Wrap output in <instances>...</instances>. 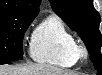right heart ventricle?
I'll use <instances>...</instances> for the list:
<instances>
[{
  "label": "right heart ventricle",
  "instance_id": "obj_1",
  "mask_svg": "<svg viewBox=\"0 0 102 75\" xmlns=\"http://www.w3.org/2000/svg\"><path fill=\"white\" fill-rule=\"evenodd\" d=\"M78 43L58 15H49L37 27L31 47V56L37 62L62 67L73 66L77 59Z\"/></svg>",
  "mask_w": 102,
  "mask_h": 75
}]
</instances>
